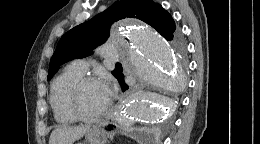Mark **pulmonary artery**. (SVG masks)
<instances>
[{"label": "pulmonary artery", "mask_w": 260, "mask_h": 144, "mask_svg": "<svg viewBox=\"0 0 260 144\" xmlns=\"http://www.w3.org/2000/svg\"><path fill=\"white\" fill-rule=\"evenodd\" d=\"M100 53L108 60V61H117L121 59V56L118 54L117 50L110 46L104 45L100 48ZM72 66L78 71L85 73L88 69V60L86 59H77L72 62Z\"/></svg>", "instance_id": "pulmonary-artery-1"}]
</instances>
